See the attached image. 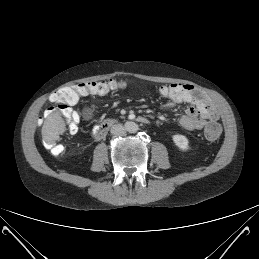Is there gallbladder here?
<instances>
[{"label": "gallbladder", "instance_id": "bac80fb5", "mask_svg": "<svg viewBox=\"0 0 259 259\" xmlns=\"http://www.w3.org/2000/svg\"><path fill=\"white\" fill-rule=\"evenodd\" d=\"M81 117L84 121L86 122H91L95 119L96 117V112L93 108L91 107H86L82 110L81 112Z\"/></svg>", "mask_w": 259, "mask_h": 259}]
</instances>
